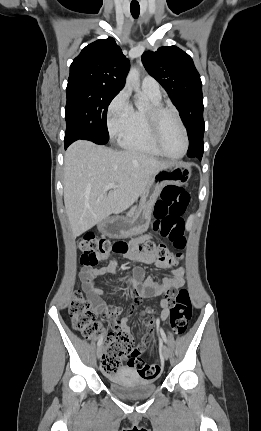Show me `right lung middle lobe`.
<instances>
[{"mask_svg":"<svg viewBox=\"0 0 261 431\" xmlns=\"http://www.w3.org/2000/svg\"><path fill=\"white\" fill-rule=\"evenodd\" d=\"M117 90L87 81H68L65 108L66 133L64 142L78 139L106 144L109 140L107 109Z\"/></svg>","mask_w":261,"mask_h":431,"instance_id":"obj_1","label":"right lung middle lobe"}]
</instances>
